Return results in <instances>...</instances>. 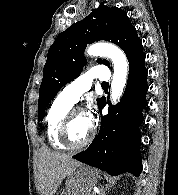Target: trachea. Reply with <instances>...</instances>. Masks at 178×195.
<instances>
[{
    "label": "trachea",
    "mask_w": 178,
    "mask_h": 195,
    "mask_svg": "<svg viewBox=\"0 0 178 195\" xmlns=\"http://www.w3.org/2000/svg\"><path fill=\"white\" fill-rule=\"evenodd\" d=\"M102 87H104V88H105V87H108V83H103V84H102Z\"/></svg>",
    "instance_id": "trachea-1"
}]
</instances>
